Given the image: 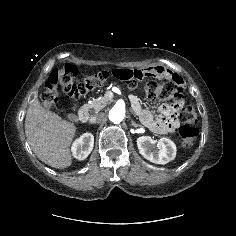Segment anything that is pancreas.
I'll return each mask as SVG.
<instances>
[{"label": "pancreas", "instance_id": "1", "mask_svg": "<svg viewBox=\"0 0 236 236\" xmlns=\"http://www.w3.org/2000/svg\"><path fill=\"white\" fill-rule=\"evenodd\" d=\"M110 99L106 96H99L98 98L94 99L91 103L86 104L88 109H92L95 112L102 110L108 103Z\"/></svg>", "mask_w": 236, "mask_h": 236}]
</instances>
